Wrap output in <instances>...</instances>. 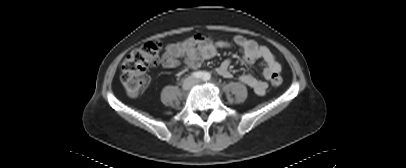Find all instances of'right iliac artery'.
<instances>
[{
  "label": "right iliac artery",
  "mask_w": 406,
  "mask_h": 168,
  "mask_svg": "<svg viewBox=\"0 0 406 168\" xmlns=\"http://www.w3.org/2000/svg\"><path fill=\"white\" fill-rule=\"evenodd\" d=\"M204 74H205L204 72L197 71V72H193L192 76L195 77V78H203Z\"/></svg>",
  "instance_id": "obj_1"
}]
</instances>
